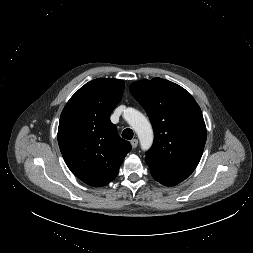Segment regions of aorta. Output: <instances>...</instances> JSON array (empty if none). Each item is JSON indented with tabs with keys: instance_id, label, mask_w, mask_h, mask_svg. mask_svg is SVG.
Returning a JSON list of instances; mask_svg holds the SVG:
<instances>
[{
	"instance_id": "1",
	"label": "aorta",
	"mask_w": 253,
	"mask_h": 253,
	"mask_svg": "<svg viewBox=\"0 0 253 253\" xmlns=\"http://www.w3.org/2000/svg\"><path fill=\"white\" fill-rule=\"evenodd\" d=\"M125 119L137 133L143 150H148L153 143V130L149 120L139 111L128 108L125 111Z\"/></svg>"
}]
</instances>
